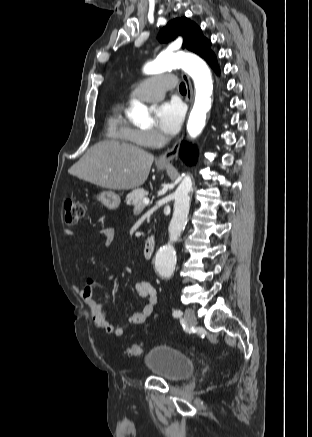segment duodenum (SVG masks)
Wrapping results in <instances>:
<instances>
[{
  "instance_id": "410a0bca",
  "label": "duodenum",
  "mask_w": 312,
  "mask_h": 437,
  "mask_svg": "<svg viewBox=\"0 0 312 437\" xmlns=\"http://www.w3.org/2000/svg\"><path fill=\"white\" fill-rule=\"evenodd\" d=\"M155 247V240L153 237L149 236L143 247V255L146 259H150Z\"/></svg>"
}]
</instances>
